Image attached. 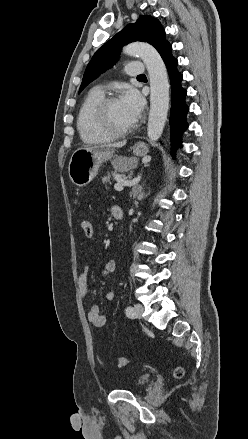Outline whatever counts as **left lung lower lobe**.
Wrapping results in <instances>:
<instances>
[{"label":"left lung lower lobe","mask_w":248,"mask_h":439,"mask_svg":"<svg viewBox=\"0 0 248 439\" xmlns=\"http://www.w3.org/2000/svg\"><path fill=\"white\" fill-rule=\"evenodd\" d=\"M160 55L167 67L171 83V154L174 156L175 149L181 145L182 133L188 127L186 115L189 111V107L185 102L187 91L181 86L183 75L177 70L178 60L172 55V46L168 44L160 52Z\"/></svg>","instance_id":"0a47b994"}]
</instances>
